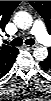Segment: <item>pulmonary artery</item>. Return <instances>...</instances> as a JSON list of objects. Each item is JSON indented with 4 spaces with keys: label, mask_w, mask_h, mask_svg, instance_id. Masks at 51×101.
<instances>
[{
    "label": "pulmonary artery",
    "mask_w": 51,
    "mask_h": 101,
    "mask_svg": "<svg viewBox=\"0 0 51 101\" xmlns=\"http://www.w3.org/2000/svg\"><path fill=\"white\" fill-rule=\"evenodd\" d=\"M31 33L34 34L37 37V39L43 42L44 44H48L49 38L44 32L41 23L35 22L31 29Z\"/></svg>",
    "instance_id": "obj_1"
}]
</instances>
